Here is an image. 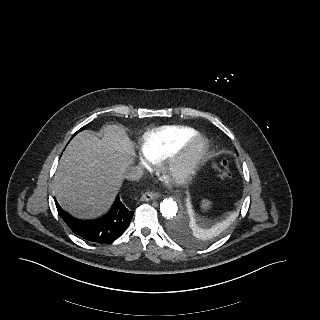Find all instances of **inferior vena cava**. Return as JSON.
Instances as JSON below:
<instances>
[{
  "label": "inferior vena cava",
  "instance_id": "602c4592",
  "mask_svg": "<svg viewBox=\"0 0 320 320\" xmlns=\"http://www.w3.org/2000/svg\"><path fill=\"white\" fill-rule=\"evenodd\" d=\"M143 176V171L139 168H129L126 170L124 177L128 180H138Z\"/></svg>",
  "mask_w": 320,
  "mask_h": 320
}]
</instances>
